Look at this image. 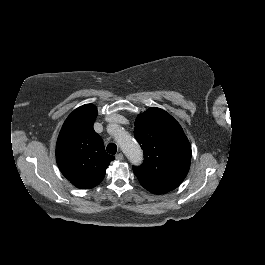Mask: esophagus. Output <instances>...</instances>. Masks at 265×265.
Returning <instances> with one entry per match:
<instances>
[{
	"label": "esophagus",
	"mask_w": 265,
	"mask_h": 265,
	"mask_svg": "<svg viewBox=\"0 0 265 265\" xmlns=\"http://www.w3.org/2000/svg\"><path fill=\"white\" fill-rule=\"evenodd\" d=\"M116 160L118 161H122L124 159V156L122 153H118L116 156H115Z\"/></svg>",
	"instance_id": "34e87169"
}]
</instances>
